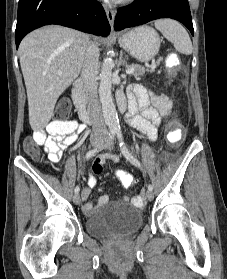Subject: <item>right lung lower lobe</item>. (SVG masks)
<instances>
[{
  "instance_id": "obj_1",
  "label": "right lung lower lobe",
  "mask_w": 227,
  "mask_h": 279,
  "mask_svg": "<svg viewBox=\"0 0 227 279\" xmlns=\"http://www.w3.org/2000/svg\"><path fill=\"white\" fill-rule=\"evenodd\" d=\"M48 24H59L104 37L110 33L104 9L97 0H20L16 47L26 34Z\"/></svg>"
}]
</instances>
